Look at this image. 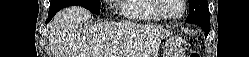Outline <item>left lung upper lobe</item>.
Masks as SVG:
<instances>
[{"instance_id": "obj_1", "label": "left lung upper lobe", "mask_w": 249, "mask_h": 57, "mask_svg": "<svg viewBox=\"0 0 249 57\" xmlns=\"http://www.w3.org/2000/svg\"><path fill=\"white\" fill-rule=\"evenodd\" d=\"M190 6L189 16L186 21L189 23H210L207 0H188Z\"/></svg>"}]
</instances>
